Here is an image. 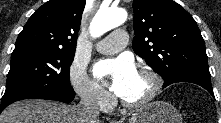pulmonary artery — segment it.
<instances>
[{
    "label": "pulmonary artery",
    "instance_id": "pulmonary-artery-1",
    "mask_svg": "<svg viewBox=\"0 0 221 123\" xmlns=\"http://www.w3.org/2000/svg\"><path fill=\"white\" fill-rule=\"evenodd\" d=\"M127 44V33L122 29L114 30L96 44V49L105 54H113L122 50Z\"/></svg>",
    "mask_w": 221,
    "mask_h": 123
}]
</instances>
